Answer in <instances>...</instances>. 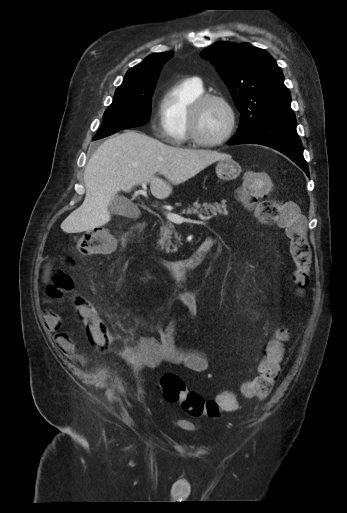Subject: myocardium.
Segmentation results:
<instances>
[{"label": "myocardium", "instance_id": "1", "mask_svg": "<svg viewBox=\"0 0 347 513\" xmlns=\"http://www.w3.org/2000/svg\"><path fill=\"white\" fill-rule=\"evenodd\" d=\"M215 101L222 104L229 114V124L226 132L216 140H207L198 132V121L202 108L209 102ZM237 115L231 102L224 96L215 93H203L197 97L189 107L187 116V129L189 140L203 147H217L227 142L236 129Z\"/></svg>", "mask_w": 347, "mask_h": 513}]
</instances>
